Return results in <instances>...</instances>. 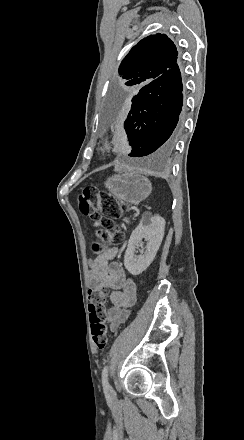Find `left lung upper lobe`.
<instances>
[{
    "label": "left lung upper lobe",
    "mask_w": 244,
    "mask_h": 440,
    "mask_svg": "<svg viewBox=\"0 0 244 440\" xmlns=\"http://www.w3.org/2000/svg\"><path fill=\"white\" fill-rule=\"evenodd\" d=\"M178 60L174 43L164 34L150 35L135 45L119 66L125 85H147L169 71Z\"/></svg>",
    "instance_id": "1"
}]
</instances>
